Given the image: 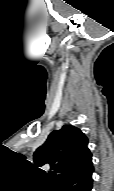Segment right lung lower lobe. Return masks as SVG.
<instances>
[{
  "label": "right lung lower lobe",
  "mask_w": 114,
  "mask_h": 191,
  "mask_svg": "<svg viewBox=\"0 0 114 191\" xmlns=\"http://www.w3.org/2000/svg\"><path fill=\"white\" fill-rule=\"evenodd\" d=\"M93 169L70 178L65 179L59 185V191H91Z\"/></svg>",
  "instance_id": "98d812e1"
}]
</instances>
